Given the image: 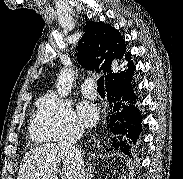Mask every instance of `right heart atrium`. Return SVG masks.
Listing matches in <instances>:
<instances>
[{
    "instance_id": "1",
    "label": "right heart atrium",
    "mask_w": 183,
    "mask_h": 179,
    "mask_svg": "<svg viewBox=\"0 0 183 179\" xmlns=\"http://www.w3.org/2000/svg\"><path fill=\"white\" fill-rule=\"evenodd\" d=\"M82 124L70 103L55 94H47L41 100L37 115L32 121V134L42 140L57 141L79 133Z\"/></svg>"
}]
</instances>
